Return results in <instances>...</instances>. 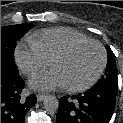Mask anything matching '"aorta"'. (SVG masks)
I'll list each match as a JSON object with an SVG mask.
<instances>
[{"mask_svg":"<svg viewBox=\"0 0 123 123\" xmlns=\"http://www.w3.org/2000/svg\"><path fill=\"white\" fill-rule=\"evenodd\" d=\"M43 105L47 112H54L59 107V101L55 96L49 95L44 98Z\"/></svg>","mask_w":123,"mask_h":123,"instance_id":"762f6f07","label":"aorta"}]
</instances>
